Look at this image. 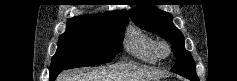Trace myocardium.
I'll return each instance as SVG.
<instances>
[{
  "instance_id": "obj_1",
  "label": "myocardium",
  "mask_w": 237,
  "mask_h": 81,
  "mask_svg": "<svg viewBox=\"0 0 237 81\" xmlns=\"http://www.w3.org/2000/svg\"><path fill=\"white\" fill-rule=\"evenodd\" d=\"M171 53L170 46L165 41H160L157 44V54L159 58L166 59Z\"/></svg>"
}]
</instances>
